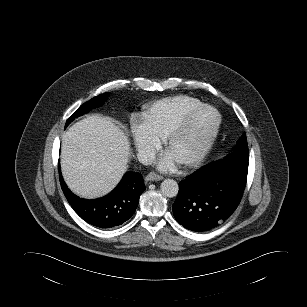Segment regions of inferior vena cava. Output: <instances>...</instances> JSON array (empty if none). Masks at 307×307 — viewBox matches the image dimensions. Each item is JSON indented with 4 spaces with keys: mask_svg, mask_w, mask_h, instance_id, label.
<instances>
[{
    "mask_svg": "<svg viewBox=\"0 0 307 307\" xmlns=\"http://www.w3.org/2000/svg\"><path fill=\"white\" fill-rule=\"evenodd\" d=\"M140 163L150 165L155 161V155L152 152L140 151L137 155Z\"/></svg>",
    "mask_w": 307,
    "mask_h": 307,
    "instance_id": "inferior-vena-cava-1",
    "label": "inferior vena cava"
}]
</instances>
